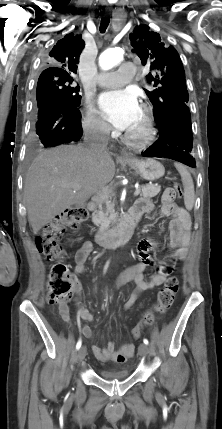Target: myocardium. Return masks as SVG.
I'll return each instance as SVG.
<instances>
[{"mask_svg": "<svg viewBox=\"0 0 222 429\" xmlns=\"http://www.w3.org/2000/svg\"><path fill=\"white\" fill-rule=\"evenodd\" d=\"M142 126L137 131H127L124 139L128 145L134 148H144L150 145L155 138L156 128L151 108L141 105Z\"/></svg>", "mask_w": 222, "mask_h": 429, "instance_id": "obj_1", "label": "myocardium"}]
</instances>
